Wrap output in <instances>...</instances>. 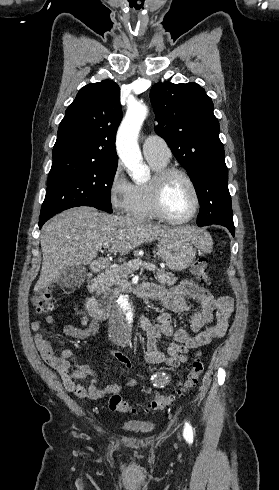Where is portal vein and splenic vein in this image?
Listing matches in <instances>:
<instances>
[{
	"label": "portal vein and splenic vein",
	"mask_w": 279,
	"mask_h": 490,
	"mask_svg": "<svg viewBox=\"0 0 279 490\" xmlns=\"http://www.w3.org/2000/svg\"><path fill=\"white\" fill-rule=\"evenodd\" d=\"M103 248H109V242L103 244ZM129 266H133V268H140V266H143V268H147L150 272H153L156 268L154 264H146V262H140V260H137V262H129Z\"/></svg>",
	"instance_id": "obj_1"
}]
</instances>
